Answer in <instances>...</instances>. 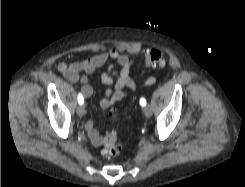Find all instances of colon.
<instances>
[{
  "instance_id": "5ec220e1",
  "label": "colon",
  "mask_w": 245,
  "mask_h": 187,
  "mask_svg": "<svg viewBox=\"0 0 245 187\" xmlns=\"http://www.w3.org/2000/svg\"><path fill=\"white\" fill-rule=\"evenodd\" d=\"M168 58L164 52L159 49H149L145 54L143 66L146 68H156L165 66ZM114 115V112H111ZM103 152L107 156L114 157L120 153V145L115 133L108 134L103 141Z\"/></svg>"
}]
</instances>
